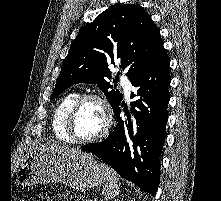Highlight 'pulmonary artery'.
Returning <instances> with one entry per match:
<instances>
[{
  "instance_id": "pulmonary-artery-1",
  "label": "pulmonary artery",
  "mask_w": 221,
  "mask_h": 201,
  "mask_svg": "<svg viewBox=\"0 0 221 201\" xmlns=\"http://www.w3.org/2000/svg\"><path fill=\"white\" fill-rule=\"evenodd\" d=\"M121 85L123 86L125 94L128 97L130 95V91L132 89V86H131L128 78L125 75L121 76Z\"/></svg>"
}]
</instances>
